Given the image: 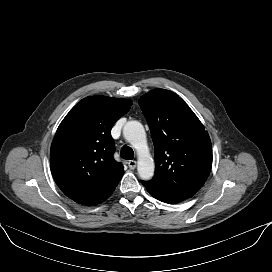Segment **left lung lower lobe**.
Masks as SVG:
<instances>
[{"label":"left lung lower lobe","mask_w":272,"mask_h":272,"mask_svg":"<svg viewBox=\"0 0 272 272\" xmlns=\"http://www.w3.org/2000/svg\"><path fill=\"white\" fill-rule=\"evenodd\" d=\"M143 183V181H142ZM143 185L145 186V184L143 183ZM146 187V186H145ZM147 189V188H146ZM148 192L153 196L155 197L156 199L162 201V202H165V203H169V204H176V203H179L185 199H179V198H172V197H167V196H164V195H161V194H158V193H155V192H152L150 191L149 189H147Z\"/></svg>","instance_id":"obj_1"}]
</instances>
